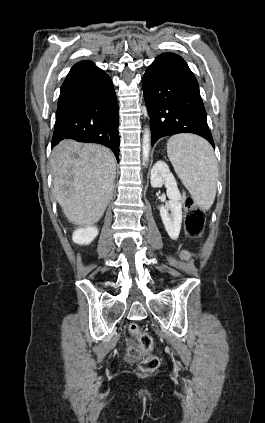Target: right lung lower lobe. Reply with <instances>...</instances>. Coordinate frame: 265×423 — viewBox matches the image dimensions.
Wrapping results in <instances>:
<instances>
[{"label": "right lung lower lobe", "instance_id": "1", "mask_svg": "<svg viewBox=\"0 0 265 423\" xmlns=\"http://www.w3.org/2000/svg\"><path fill=\"white\" fill-rule=\"evenodd\" d=\"M119 116L110 77L91 61L75 64L60 91L52 147L65 139L109 147L119 161Z\"/></svg>", "mask_w": 265, "mask_h": 423}]
</instances>
